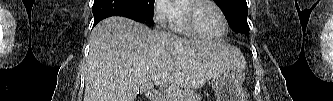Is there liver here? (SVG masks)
<instances>
[{"label":"liver","instance_id":"6515ba94","mask_svg":"<svg viewBox=\"0 0 333 101\" xmlns=\"http://www.w3.org/2000/svg\"><path fill=\"white\" fill-rule=\"evenodd\" d=\"M239 50L220 42L181 39L125 17H110L92 31L84 101H134L164 82L194 89L229 67L245 68Z\"/></svg>","mask_w":333,"mask_h":101}]
</instances>
